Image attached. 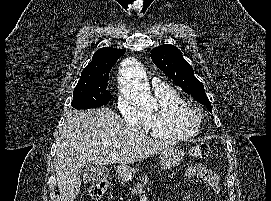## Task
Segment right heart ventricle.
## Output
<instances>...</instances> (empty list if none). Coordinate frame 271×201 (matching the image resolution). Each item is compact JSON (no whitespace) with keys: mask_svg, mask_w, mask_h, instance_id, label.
<instances>
[{"mask_svg":"<svg viewBox=\"0 0 271 201\" xmlns=\"http://www.w3.org/2000/svg\"><path fill=\"white\" fill-rule=\"evenodd\" d=\"M156 109L145 113L143 128L153 137L176 140L194 137L200 124L187 118L188 102L173 88L157 85L154 88Z\"/></svg>","mask_w":271,"mask_h":201,"instance_id":"1","label":"right heart ventricle"}]
</instances>
